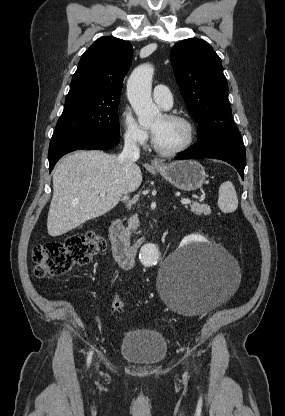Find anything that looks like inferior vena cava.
Here are the masks:
<instances>
[{
  "instance_id": "obj_1",
  "label": "inferior vena cava",
  "mask_w": 285,
  "mask_h": 416,
  "mask_svg": "<svg viewBox=\"0 0 285 416\" xmlns=\"http://www.w3.org/2000/svg\"><path fill=\"white\" fill-rule=\"evenodd\" d=\"M125 146L123 148V152H121L120 156H118V160L120 164H122L123 172H129L130 166H133L134 162H137L140 158V150L137 146V140L133 134L130 132H126L124 138ZM124 202L129 200L127 194L122 198Z\"/></svg>"
}]
</instances>
